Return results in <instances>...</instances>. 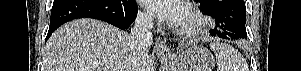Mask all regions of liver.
Listing matches in <instances>:
<instances>
[{
    "label": "liver",
    "mask_w": 301,
    "mask_h": 71,
    "mask_svg": "<svg viewBox=\"0 0 301 71\" xmlns=\"http://www.w3.org/2000/svg\"><path fill=\"white\" fill-rule=\"evenodd\" d=\"M153 71V58L137 53L132 35L93 19H77L57 29L47 41L44 71Z\"/></svg>",
    "instance_id": "6515ba94"
}]
</instances>
